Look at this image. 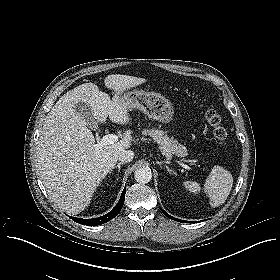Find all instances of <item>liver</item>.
I'll return each instance as SVG.
<instances>
[{
	"label": "liver",
	"instance_id": "obj_1",
	"mask_svg": "<svg viewBox=\"0 0 280 280\" xmlns=\"http://www.w3.org/2000/svg\"><path fill=\"white\" fill-rule=\"evenodd\" d=\"M145 82L144 78L108 75L104 83L114 91L112 99L94 83H84L64 94L48 113L39 137L37 166L48 195L66 213L77 214L88 206L96 187L132 140V131L127 130L120 141L97 148L75 105L88 104L96 122L105 123L109 117L113 123L126 125L131 108L122 93Z\"/></svg>",
	"mask_w": 280,
	"mask_h": 280
}]
</instances>
